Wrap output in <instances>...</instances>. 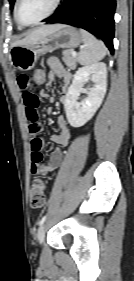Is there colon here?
Wrapping results in <instances>:
<instances>
[{"instance_id": "5ec220e1", "label": "colon", "mask_w": 134, "mask_h": 281, "mask_svg": "<svg viewBox=\"0 0 134 281\" xmlns=\"http://www.w3.org/2000/svg\"><path fill=\"white\" fill-rule=\"evenodd\" d=\"M33 80L36 86H42L47 82V74L43 69H37ZM46 202V186L41 179H36L31 188L30 204L34 208L42 207Z\"/></svg>"}]
</instances>
